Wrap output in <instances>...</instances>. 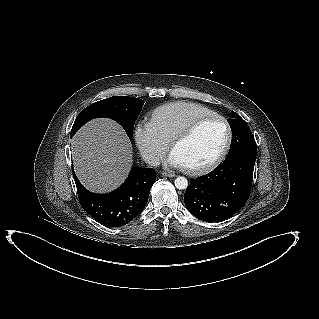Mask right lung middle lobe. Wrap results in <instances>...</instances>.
Wrapping results in <instances>:
<instances>
[{
	"label": "right lung middle lobe",
	"instance_id": "right-lung-middle-lobe-1",
	"mask_svg": "<svg viewBox=\"0 0 319 319\" xmlns=\"http://www.w3.org/2000/svg\"><path fill=\"white\" fill-rule=\"evenodd\" d=\"M143 104V100L127 96H114L95 102L79 113L73 124L70 137L89 120L108 117L117 121L132 139L133 127Z\"/></svg>",
	"mask_w": 319,
	"mask_h": 319
}]
</instances>
